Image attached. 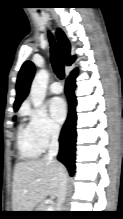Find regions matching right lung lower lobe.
I'll return each mask as SVG.
<instances>
[{
	"label": "right lung lower lobe",
	"mask_w": 123,
	"mask_h": 219,
	"mask_svg": "<svg viewBox=\"0 0 123 219\" xmlns=\"http://www.w3.org/2000/svg\"><path fill=\"white\" fill-rule=\"evenodd\" d=\"M77 69H75L66 81L65 92L69 100V115L62 128L59 142L60 150L58 160L61 161L68 169L71 176L74 174L75 169V143H76V98L74 96L75 78L77 76Z\"/></svg>",
	"instance_id": "right-lung-lower-lobe-1"
}]
</instances>
